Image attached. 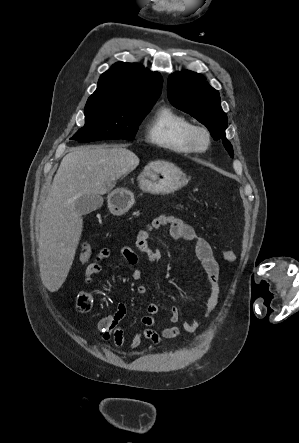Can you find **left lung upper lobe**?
<instances>
[{"label": "left lung upper lobe", "mask_w": 299, "mask_h": 443, "mask_svg": "<svg viewBox=\"0 0 299 443\" xmlns=\"http://www.w3.org/2000/svg\"><path fill=\"white\" fill-rule=\"evenodd\" d=\"M168 99L173 106L190 114L204 124L214 140L222 139L233 157V148L225 136L227 116L221 108L219 92L195 72L183 70L168 78Z\"/></svg>", "instance_id": "5c2ea615"}]
</instances>
